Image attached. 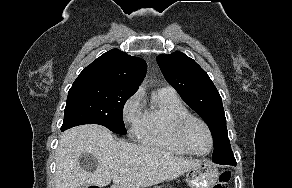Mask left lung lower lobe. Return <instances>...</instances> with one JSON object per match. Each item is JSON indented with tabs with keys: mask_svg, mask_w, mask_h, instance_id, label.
<instances>
[{
	"mask_svg": "<svg viewBox=\"0 0 292 188\" xmlns=\"http://www.w3.org/2000/svg\"><path fill=\"white\" fill-rule=\"evenodd\" d=\"M218 163H221V164H228V163L235 164L236 161H235L234 156H231L230 159L223 160V161H218Z\"/></svg>",
	"mask_w": 292,
	"mask_h": 188,
	"instance_id": "obj_1",
	"label": "left lung lower lobe"
}]
</instances>
